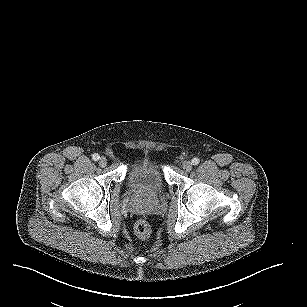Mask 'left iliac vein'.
Returning <instances> with one entry per match:
<instances>
[{"mask_svg": "<svg viewBox=\"0 0 307 307\" xmlns=\"http://www.w3.org/2000/svg\"><path fill=\"white\" fill-rule=\"evenodd\" d=\"M182 167L185 171L189 172L192 169V163L189 161H186L183 163Z\"/></svg>", "mask_w": 307, "mask_h": 307, "instance_id": "obj_1", "label": "left iliac vein"}]
</instances>
